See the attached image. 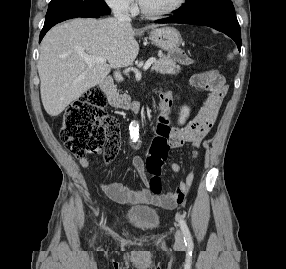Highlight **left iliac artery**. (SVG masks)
<instances>
[{"instance_id": "1", "label": "left iliac artery", "mask_w": 286, "mask_h": 269, "mask_svg": "<svg viewBox=\"0 0 286 269\" xmlns=\"http://www.w3.org/2000/svg\"><path fill=\"white\" fill-rule=\"evenodd\" d=\"M179 223H180V227H181V230L183 232V235H184V242H185L186 246L193 247V241H192L191 233H190L189 228L186 224V221L184 220L183 217L180 218Z\"/></svg>"}]
</instances>
